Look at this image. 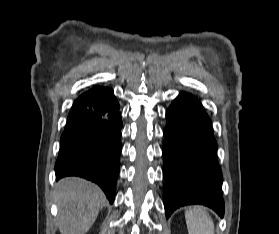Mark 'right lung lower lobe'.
Returning <instances> with one entry per match:
<instances>
[{
	"label": "right lung lower lobe",
	"instance_id": "right-lung-lower-lobe-1",
	"mask_svg": "<svg viewBox=\"0 0 279 234\" xmlns=\"http://www.w3.org/2000/svg\"><path fill=\"white\" fill-rule=\"evenodd\" d=\"M113 90L95 87L74 102L61 136L56 179L79 176L97 183L113 203L119 174L122 120Z\"/></svg>",
	"mask_w": 279,
	"mask_h": 234
}]
</instances>
